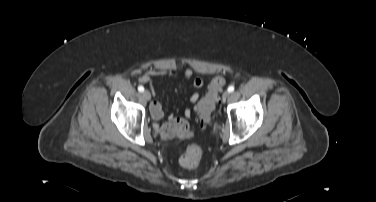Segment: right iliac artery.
<instances>
[{"label":"right iliac artery","mask_w":376,"mask_h":202,"mask_svg":"<svg viewBox=\"0 0 376 202\" xmlns=\"http://www.w3.org/2000/svg\"><path fill=\"white\" fill-rule=\"evenodd\" d=\"M138 91H139V92H143V91H144V87H143V86H141V85H140V86H138Z\"/></svg>","instance_id":"82829eb1"}]
</instances>
